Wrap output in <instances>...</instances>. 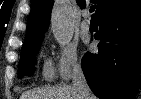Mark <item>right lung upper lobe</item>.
<instances>
[{"instance_id": "1", "label": "right lung upper lobe", "mask_w": 141, "mask_h": 99, "mask_svg": "<svg viewBox=\"0 0 141 99\" xmlns=\"http://www.w3.org/2000/svg\"><path fill=\"white\" fill-rule=\"evenodd\" d=\"M97 4L96 16L108 7L111 0H94ZM81 8L85 7V0H77ZM53 0H32L31 11L28 16L25 44L43 39V34L49 27Z\"/></svg>"}]
</instances>
